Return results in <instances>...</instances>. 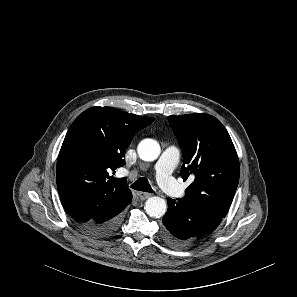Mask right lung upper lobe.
<instances>
[{
    "mask_svg": "<svg viewBox=\"0 0 297 297\" xmlns=\"http://www.w3.org/2000/svg\"><path fill=\"white\" fill-rule=\"evenodd\" d=\"M153 121L112 107H92L72 123L58 155L56 180L63 206L77 223L130 201L129 188L109 172L124 165L133 134Z\"/></svg>",
    "mask_w": 297,
    "mask_h": 297,
    "instance_id": "obj_1",
    "label": "right lung upper lobe"
}]
</instances>
